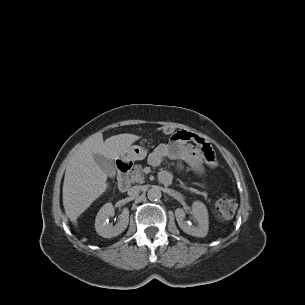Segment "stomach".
<instances>
[{
    "label": "stomach",
    "instance_id": "1",
    "mask_svg": "<svg viewBox=\"0 0 305 305\" xmlns=\"http://www.w3.org/2000/svg\"><path fill=\"white\" fill-rule=\"evenodd\" d=\"M147 156V149L139 145L130 146L121 159L125 162H134L145 159Z\"/></svg>",
    "mask_w": 305,
    "mask_h": 305
}]
</instances>
